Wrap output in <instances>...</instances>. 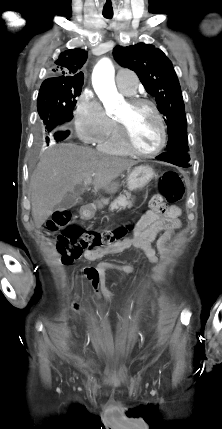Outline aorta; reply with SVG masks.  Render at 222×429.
Instances as JSON below:
<instances>
[{"instance_id":"1","label":"aorta","mask_w":222,"mask_h":429,"mask_svg":"<svg viewBox=\"0 0 222 429\" xmlns=\"http://www.w3.org/2000/svg\"><path fill=\"white\" fill-rule=\"evenodd\" d=\"M115 70L108 58L101 59L92 75L93 88L107 113H114L123 102L114 81Z\"/></svg>"}]
</instances>
